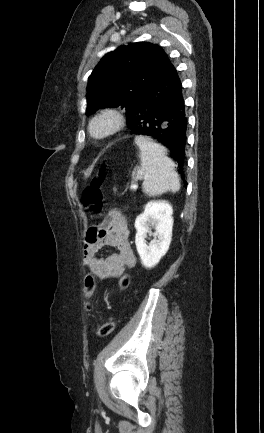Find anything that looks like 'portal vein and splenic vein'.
<instances>
[{
	"instance_id": "portal-vein-and-splenic-vein-1",
	"label": "portal vein and splenic vein",
	"mask_w": 264,
	"mask_h": 433,
	"mask_svg": "<svg viewBox=\"0 0 264 433\" xmlns=\"http://www.w3.org/2000/svg\"><path fill=\"white\" fill-rule=\"evenodd\" d=\"M130 189L131 190H136L137 189V185L136 184L131 185Z\"/></svg>"
}]
</instances>
